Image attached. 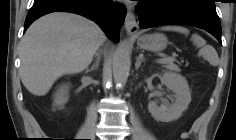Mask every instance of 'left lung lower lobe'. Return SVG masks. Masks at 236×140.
I'll return each instance as SVG.
<instances>
[{
  "label": "left lung lower lobe",
  "mask_w": 236,
  "mask_h": 140,
  "mask_svg": "<svg viewBox=\"0 0 236 140\" xmlns=\"http://www.w3.org/2000/svg\"><path fill=\"white\" fill-rule=\"evenodd\" d=\"M142 29L182 24L204 29L221 42L215 4L200 0H140L136 6Z\"/></svg>",
  "instance_id": "1"
}]
</instances>
